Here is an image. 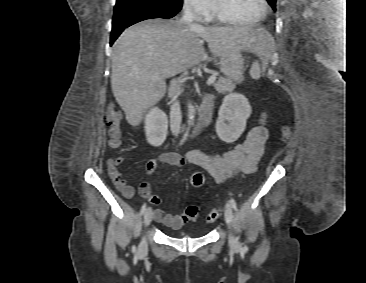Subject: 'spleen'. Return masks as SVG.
<instances>
[{
	"instance_id": "spleen-1",
	"label": "spleen",
	"mask_w": 366,
	"mask_h": 283,
	"mask_svg": "<svg viewBox=\"0 0 366 283\" xmlns=\"http://www.w3.org/2000/svg\"><path fill=\"white\" fill-rule=\"evenodd\" d=\"M250 75L255 80H258L261 77V70L258 62H254L252 64L250 69Z\"/></svg>"
}]
</instances>
